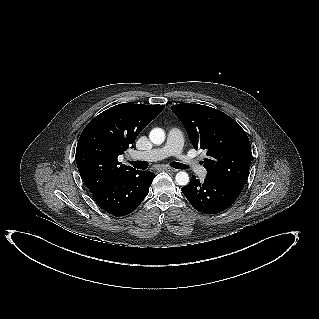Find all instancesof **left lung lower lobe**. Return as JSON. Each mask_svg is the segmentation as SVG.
I'll return each mask as SVG.
<instances>
[{
  "label": "left lung lower lobe",
  "mask_w": 319,
  "mask_h": 319,
  "mask_svg": "<svg viewBox=\"0 0 319 319\" xmlns=\"http://www.w3.org/2000/svg\"><path fill=\"white\" fill-rule=\"evenodd\" d=\"M184 196L199 212L218 213L231 206L241 191L217 179L206 177L202 183L193 175L189 184L182 187Z\"/></svg>",
  "instance_id": "obj_1"
}]
</instances>
